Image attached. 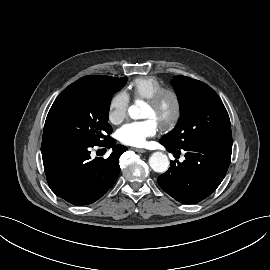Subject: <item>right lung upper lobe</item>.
Here are the masks:
<instances>
[{
  "mask_svg": "<svg viewBox=\"0 0 270 270\" xmlns=\"http://www.w3.org/2000/svg\"><path fill=\"white\" fill-rule=\"evenodd\" d=\"M111 78L109 76H85L77 80L75 83L87 81V80H103V79H108Z\"/></svg>",
  "mask_w": 270,
  "mask_h": 270,
  "instance_id": "1",
  "label": "right lung upper lobe"
}]
</instances>
